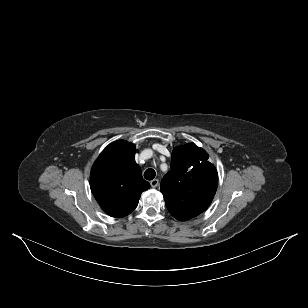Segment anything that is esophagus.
Instances as JSON below:
<instances>
[{"mask_svg": "<svg viewBox=\"0 0 308 308\" xmlns=\"http://www.w3.org/2000/svg\"><path fill=\"white\" fill-rule=\"evenodd\" d=\"M150 185L151 187L156 188L159 185V180L158 179L151 180Z\"/></svg>", "mask_w": 308, "mask_h": 308, "instance_id": "34e87169", "label": "esophagus"}]
</instances>
